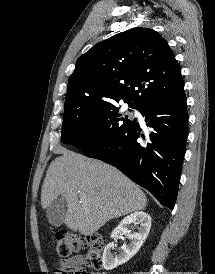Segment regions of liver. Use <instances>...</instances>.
Masks as SVG:
<instances>
[{
	"label": "liver",
	"mask_w": 215,
	"mask_h": 274,
	"mask_svg": "<svg viewBox=\"0 0 215 274\" xmlns=\"http://www.w3.org/2000/svg\"><path fill=\"white\" fill-rule=\"evenodd\" d=\"M60 153L48 167L41 205L45 210L58 197L65 200L63 222L72 231L92 235L109 220L146 207L143 191L116 168L66 149Z\"/></svg>",
	"instance_id": "6515ba94"
}]
</instances>
